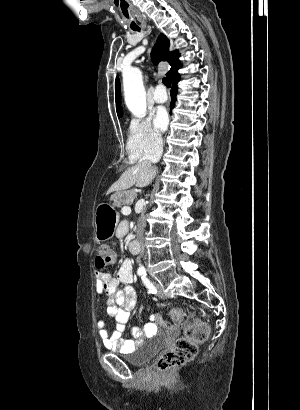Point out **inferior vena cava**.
<instances>
[{"label":"inferior vena cava","instance_id":"1","mask_svg":"<svg viewBox=\"0 0 300 410\" xmlns=\"http://www.w3.org/2000/svg\"><path fill=\"white\" fill-rule=\"evenodd\" d=\"M152 146L154 149L149 150L148 152L145 153V156L139 163L141 166H147L150 167L152 163L157 162L161 156L162 148H163V143H162V138L161 136H155L154 140L152 141ZM138 237H137V242L139 244V248L141 250V253H144L145 250V239L143 237V231H144V225H145V220H144V211L140 214L139 220H138Z\"/></svg>","mask_w":300,"mask_h":410}]
</instances>
